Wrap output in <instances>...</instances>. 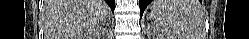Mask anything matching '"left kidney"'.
Returning a JSON list of instances; mask_svg holds the SVG:
<instances>
[{
  "label": "left kidney",
  "instance_id": "5707ae66",
  "mask_svg": "<svg viewBox=\"0 0 249 39\" xmlns=\"http://www.w3.org/2000/svg\"><path fill=\"white\" fill-rule=\"evenodd\" d=\"M158 39H173L169 34H166L165 32H159L157 35Z\"/></svg>",
  "mask_w": 249,
  "mask_h": 39
}]
</instances>
